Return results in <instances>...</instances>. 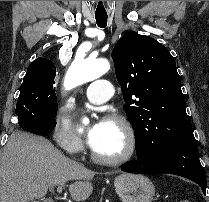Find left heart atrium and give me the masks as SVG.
<instances>
[{"label":"left heart atrium","instance_id":"39dd6f15","mask_svg":"<svg viewBox=\"0 0 209 202\" xmlns=\"http://www.w3.org/2000/svg\"><path fill=\"white\" fill-rule=\"evenodd\" d=\"M104 122L95 121L89 125L86 137L88 143L93 147L100 139L102 130H103Z\"/></svg>","mask_w":209,"mask_h":202}]
</instances>
